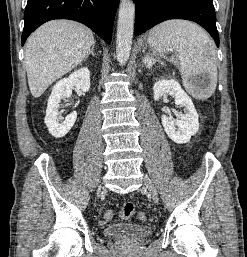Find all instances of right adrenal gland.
<instances>
[{
    "instance_id": "1",
    "label": "right adrenal gland",
    "mask_w": 247,
    "mask_h": 257,
    "mask_svg": "<svg viewBox=\"0 0 247 257\" xmlns=\"http://www.w3.org/2000/svg\"><path fill=\"white\" fill-rule=\"evenodd\" d=\"M94 48H95V43L93 44V46H92V49H91V51L87 54V56L84 58V62L88 59V57L90 56V55H92V56H95V54H94Z\"/></svg>"
}]
</instances>
